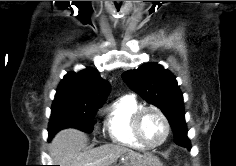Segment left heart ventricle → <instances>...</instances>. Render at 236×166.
I'll return each mask as SVG.
<instances>
[{"mask_svg": "<svg viewBox=\"0 0 236 166\" xmlns=\"http://www.w3.org/2000/svg\"><path fill=\"white\" fill-rule=\"evenodd\" d=\"M165 127L162 119L153 111L144 114L141 120V134L146 142L156 144L162 140Z\"/></svg>", "mask_w": 236, "mask_h": 166, "instance_id": "b2bd125f", "label": "left heart ventricle"}]
</instances>
